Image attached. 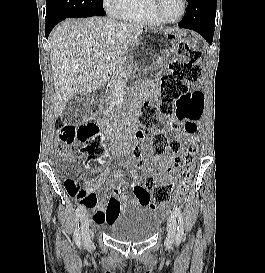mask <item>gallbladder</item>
Returning a JSON list of instances; mask_svg holds the SVG:
<instances>
[{
	"label": "gallbladder",
	"instance_id": "1",
	"mask_svg": "<svg viewBox=\"0 0 265 273\" xmlns=\"http://www.w3.org/2000/svg\"><path fill=\"white\" fill-rule=\"evenodd\" d=\"M88 108V97L83 94L74 95L68 102L61 115L65 123H77Z\"/></svg>",
	"mask_w": 265,
	"mask_h": 273
}]
</instances>
